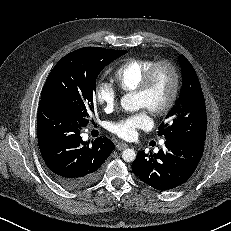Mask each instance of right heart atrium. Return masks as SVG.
I'll use <instances>...</instances> for the list:
<instances>
[{"label": "right heart atrium", "mask_w": 231, "mask_h": 231, "mask_svg": "<svg viewBox=\"0 0 231 231\" xmlns=\"http://www.w3.org/2000/svg\"><path fill=\"white\" fill-rule=\"evenodd\" d=\"M95 100L106 110H112L118 102L117 90L107 82H100L95 88Z\"/></svg>", "instance_id": "d8ad5b80"}]
</instances>
